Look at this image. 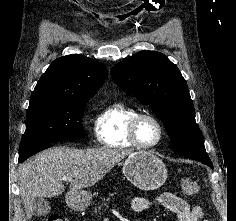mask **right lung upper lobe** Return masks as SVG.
I'll list each match as a JSON object with an SVG mask.
<instances>
[{
	"label": "right lung upper lobe",
	"mask_w": 236,
	"mask_h": 221,
	"mask_svg": "<svg viewBox=\"0 0 236 221\" xmlns=\"http://www.w3.org/2000/svg\"><path fill=\"white\" fill-rule=\"evenodd\" d=\"M106 77L107 68L94 59L79 54L62 56L40 77L31 99H89Z\"/></svg>",
	"instance_id": "obj_1"
}]
</instances>
